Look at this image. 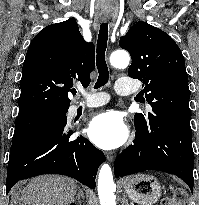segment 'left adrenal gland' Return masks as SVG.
<instances>
[{
    "label": "left adrenal gland",
    "instance_id": "left-adrenal-gland-1",
    "mask_svg": "<svg viewBox=\"0 0 199 205\" xmlns=\"http://www.w3.org/2000/svg\"><path fill=\"white\" fill-rule=\"evenodd\" d=\"M121 203L122 205H130L125 195L123 196Z\"/></svg>",
    "mask_w": 199,
    "mask_h": 205
}]
</instances>
